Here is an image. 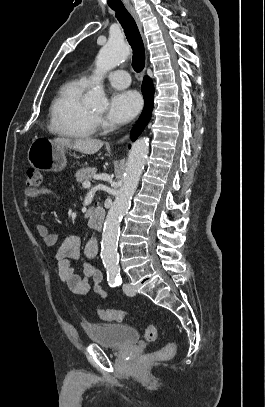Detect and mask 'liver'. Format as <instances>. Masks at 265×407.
Segmentation results:
<instances>
[{
	"instance_id": "obj_1",
	"label": "liver",
	"mask_w": 265,
	"mask_h": 407,
	"mask_svg": "<svg viewBox=\"0 0 265 407\" xmlns=\"http://www.w3.org/2000/svg\"><path fill=\"white\" fill-rule=\"evenodd\" d=\"M53 142L64 147L73 148L74 150L88 155L95 154L103 146L101 140L91 138H80L73 141L67 138H55Z\"/></svg>"
}]
</instances>
